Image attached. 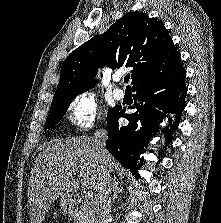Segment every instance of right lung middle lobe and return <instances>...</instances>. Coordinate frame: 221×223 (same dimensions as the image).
Wrapping results in <instances>:
<instances>
[{
  "label": "right lung middle lobe",
  "mask_w": 221,
  "mask_h": 223,
  "mask_svg": "<svg viewBox=\"0 0 221 223\" xmlns=\"http://www.w3.org/2000/svg\"><path fill=\"white\" fill-rule=\"evenodd\" d=\"M75 96L76 95L52 102L45 129L51 128L63 117L70 103L75 99ZM116 109V107L109 109L108 118L115 113Z\"/></svg>",
  "instance_id": "obj_1"
}]
</instances>
